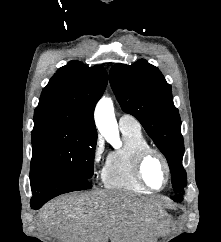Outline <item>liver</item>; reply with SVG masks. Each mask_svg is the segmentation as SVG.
Returning <instances> with one entry per match:
<instances>
[{
  "label": "liver",
  "instance_id": "obj_1",
  "mask_svg": "<svg viewBox=\"0 0 221 242\" xmlns=\"http://www.w3.org/2000/svg\"><path fill=\"white\" fill-rule=\"evenodd\" d=\"M168 205L129 192L74 193L46 204L37 224L58 242H154Z\"/></svg>",
  "mask_w": 221,
  "mask_h": 242
}]
</instances>
